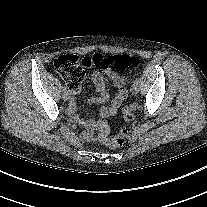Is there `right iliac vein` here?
Wrapping results in <instances>:
<instances>
[{
  "instance_id": "63e3f726",
  "label": "right iliac vein",
  "mask_w": 207,
  "mask_h": 207,
  "mask_svg": "<svg viewBox=\"0 0 207 207\" xmlns=\"http://www.w3.org/2000/svg\"><path fill=\"white\" fill-rule=\"evenodd\" d=\"M62 99H63L64 101H69V99H70V95H69V93H68L67 91L63 92V94H62Z\"/></svg>"
}]
</instances>
